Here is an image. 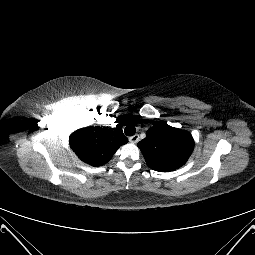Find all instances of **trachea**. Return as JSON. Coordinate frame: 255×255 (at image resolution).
I'll use <instances>...</instances> for the list:
<instances>
[{
    "label": "trachea",
    "instance_id": "obj_1",
    "mask_svg": "<svg viewBox=\"0 0 255 255\" xmlns=\"http://www.w3.org/2000/svg\"><path fill=\"white\" fill-rule=\"evenodd\" d=\"M124 131L127 136H133L136 132V128L133 125H128Z\"/></svg>",
    "mask_w": 255,
    "mask_h": 255
}]
</instances>
